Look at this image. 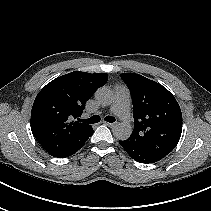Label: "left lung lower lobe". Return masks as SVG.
I'll use <instances>...</instances> for the list:
<instances>
[{
    "mask_svg": "<svg viewBox=\"0 0 211 211\" xmlns=\"http://www.w3.org/2000/svg\"><path fill=\"white\" fill-rule=\"evenodd\" d=\"M120 145L125 149V151L137 162L140 163H154L161 158L144 151L142 149L136 148L132 145H130L126 140L124 141H119Z\"/></svg>",
    "mask_w": 211,
    "mask_h": 211,
    "instance_id": "0a47b994",
    "label": "left lung lower lobe"
}]
</instances>
